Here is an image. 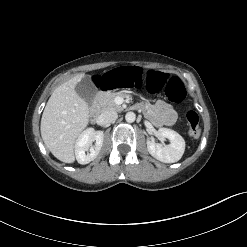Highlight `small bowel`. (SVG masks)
<instances>
[{
	"mask_svg": "<svg viewBox=\"0 0 247 247\" xmlns=\"http://www.w3.org/2000/svg\"><path fill=\"white\" fill-rule=\"evenodd\" d=\"M145 112L156 126H171L176 121V112L164 101H158L152 106H145Z\"/></svg>",
	"mask_w": 247,
	"mask_h": 247,
	"instance_id": "obj_1",
	"label": "small bowel"
}]
</instances>
